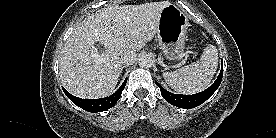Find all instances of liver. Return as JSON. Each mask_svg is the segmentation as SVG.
<instances>
[{
	"mask_svg": "<svg viewBox=\"0 0 276 138\" xmlns=\"http://www.w3.org/2000/svg\"><path fill=\"white\" fill-rule=\"evenodd\" d=\"M168 1L114 5L85 18L68 37L59 59L60 80L73 95L102 98L118 82L125 52H138L158 31L159 17ZM104 46L100 54L95 43Z\"/></svg>",
	"mask_w": 276,
	"mask_h": 138,
	"instance_id": "6515ba94",
	"label": "liver"
}]
</instances>
